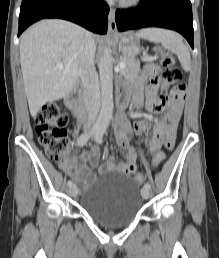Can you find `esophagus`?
I'll return each instance as SVG.
<instances>
[{
  "instance_id": "1",
  "label": "esophagus",
  "mask_w": 219,
  "mask_h": 258,
  "mask_svg": "<svg viewBox=\"0 0 219 258\" xmlns=\"http://www.w3.org/2000/svg\"><path fill=\"white\" fill-rule=\"evenodd\" d=\"M115 8L110 7L109 15H108V31L110 33H113L116 31V22H115Z\"/></svg>"
}]
</instances>
